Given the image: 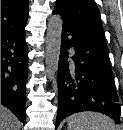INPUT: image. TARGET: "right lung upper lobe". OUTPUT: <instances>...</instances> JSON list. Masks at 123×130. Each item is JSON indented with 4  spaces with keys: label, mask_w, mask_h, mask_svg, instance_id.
I'll use <instances>...</instances> for the list:
<instances>
[{
    "label": "right lung upper lobe",
    "mask_w": 123,
    "mask_h": 130,
    "mask_svg": "<svg viewBox=\"0 0 123 130\" xmlns=\"http://www.w3.org/2000/svg\"><path fill=\"white\" fill-rule=\"evenodd\" d=\"M28 0H1V32L25 28Z\"/></svg>",
    "instance_id": "cb5924a9"
}]
</instances>
